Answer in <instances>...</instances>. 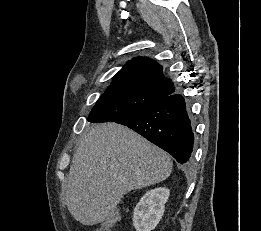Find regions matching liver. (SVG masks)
Returning a JSON list of instances; mask_svg holds the SVG:
<instances>
[{
    "instance_id": "obj_1",
    "label": "liver",
    "mask_w": 261,
    "mask_h": 231,
    "mask_svg": "<svg viewBox=\"0 0 261 231\" xmlns=\"http://www.w3.org/2000/svg\"><path fill=\"white\" fill-rule=\"evenodd\" d=\"M171 171V157L134 131L116 123L95 124L70 166L68 210L84 225L104 222L125 194L159 183Z\"/></svg>"
}]
</instances>
